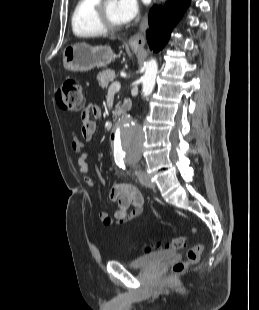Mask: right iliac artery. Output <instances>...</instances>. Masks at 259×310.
Instances as JSON below:
<instances>
[{"mask_svg":"<svg viewBox=\"0 0 259 310\" xmlns=\"http://www.w3.org/2000/svg\"><path fill=\"white\" fill-rule=\"evenodd\" d=\"M116 164H117L120 168L125 169V165H124L123 160H117V161H116Z\"/></svg>","mask_w":259,"mask_h":310,"instance_id":"1","label":"right iliac artery"}]
</instances>
